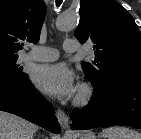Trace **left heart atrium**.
<instances>
[{"label": "left heart atrium", "mask_w": 141, "mask_h": 139, "mask_svg": "<svg viewBox=\"0 0 141 139\" xmlns=\"http://www.w3.org/2000/svg\"><path fill=\"white\" fill-rule=\"evenodd\" d=\"M32 78L45 94L56 98H70L76 91L73 72L64 64H49L37 67Z\"/></svg>", "instance_id": "obj_1"}]
</instances>
